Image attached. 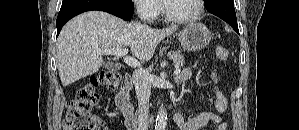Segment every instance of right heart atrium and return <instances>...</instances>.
Segmentation results:
<instances>
[{"label": "right heart atrium", "mask_w": 299, "mask_h": 130, "mask_svg": "<svg viewBox=\"0 0 299 130\" xmlns=\"http://www.w3.org/2000/svg\"><path fill=\"white\" fill-rule=\"evenodd\" d=\"M134 5L138 15L147 21L156 19L161 10L157 0H135Z\"/></svg>", "instance_id": "obj_1"}]
</instances>
